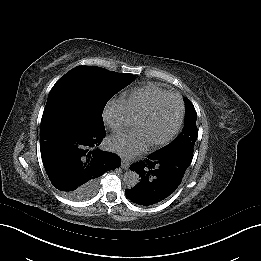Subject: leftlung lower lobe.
<instances>
[{"label":"left lung lower lobe","instance_id":"0a47b994","mask_svg":"<svg viewBox=\"0 0 261 261\" xmlns=\"http://www.w3.org/2000/svg\"><path fill=\"white\" fill-rule=\"evenodd\" d=\"M192 156L183 152H156L144 162L131 165L141 177L126 196L135 203L152 205L170 196L181 183Z\"/></svg>","mask_w":261,"mask_h":261}]
</instances>
